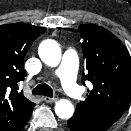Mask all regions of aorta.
<instances>
[{
    "instance_id": "aorta-1",
    "label": "aorta",
    "mask_w": 131,
    "mask_h": 131,
    "mask_svg": "<svg viewBox=\"0 0 131 131\" xmlns=\"http://www.w3.org/2000/svg\"><path fill=\"white\" fill-rule=\"evenodd\" d=\"M41 60L51 67H56L61 60V49L55 40H44L39 47ZM55 113L61 119H69L74 113L73 104L66 99H60L55 104Z\"/></svg>"
}]
</instances>
